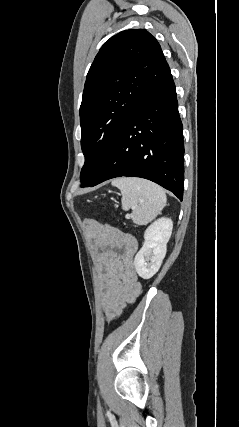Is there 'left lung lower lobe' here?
Returning a JSON list of instances; mask_svg holds the SVG:
<instances>
[{"label": "left lung lower lobe", "instance_id": "1", "mask_svg": "<svg viewBox=\"0 0 239 427\" xmlns=\"http://www.w3.org/2000/svg\"><path fill=\"white\" fill-rule=\"evenodd\" d=\"M183 158L182 122L169 73L129 117L106 163L88 186L115 177H141L172 191L182 201Z\"/></svg>", "mask_w": 239, "mask_h": 427}]
</instances>
